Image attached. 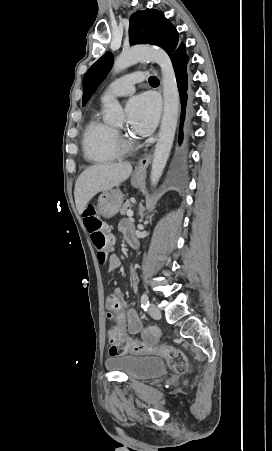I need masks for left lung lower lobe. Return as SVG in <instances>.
I'll list each match as a JSON object with an SVG mask.
<instances>
[{"instance_id": "obj_1", "label": "left lung lower lobe", "mask_w": 272, "mask_h": 451, "mask_svg": "<svg viewBox=\"0 0 272 451\" xmlns=\"http://www.w3.org/2000/svg\"><path fill=\"white\" fill-rule=\"evenodd\" d=\"M185 44L183 42L179 43L178 47L172 54L171 61L174 67L177 84H178V90L180 93V100L182 105V112H181V123H180V133H179V143H182L184 136L186 139H189L191 137V121L193 116V111L191 108L187 111V119L185 122V127L183 131V124L186 118V104H187V82H188V74H187V63L189 61V57L186 54L185 51ZM188 154V149L186 146H184L180 153L179 157L184 159Z\"/></svg>"}]
</instances>
